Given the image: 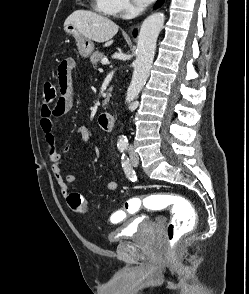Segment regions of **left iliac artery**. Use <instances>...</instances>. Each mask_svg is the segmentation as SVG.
Returning a JSON list of instances; mask_svg holds the SVG:
<instances>
[{"label": "left iliac artery", "instance_id": "obj_1", "mask_svg": "<svg viewBox=\"0 0 249 294\" xmlns=\"http://www.w3.org/2000/svg\"><path fill=\"white\" fill-rule=\"evenodd\" d=\"M122 167L127 177L133 182L136 181L137 177L135 175V172L132 170L129 159L125 156V154L122 155Z\"/></svg>", "mask_w": 249, "mask_h": 294}]
</instances>
